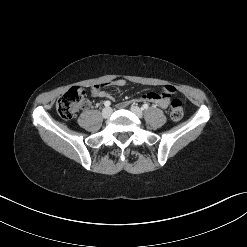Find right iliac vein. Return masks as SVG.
<instances>
[{
    "instance_id": "1",
    "label": "right iliac vein",
    "mask_w": 247,
    "mask_h": 247,
    "mask_svg": "<svg viewBox=\"0 0 247 247\" xmlns=\"http://www.w3.org/2000/svg\"><path fill=\"white\" fill-rule=\"evenodd\" d=\"M112 114V109L107 107L102 110V117L103 118H109L110 115Z\"/></svg>"
}]
</instances>
